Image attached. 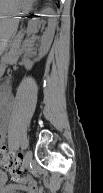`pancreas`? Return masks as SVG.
I'll use <instances>...</instances> for the list:
<instances>
[{"label":"pancreas","mask_w":103,"mask_h":193,"mask_svg":"<svg viewBox=\"0 0 103 193\" xmlns=\"http://www.w3.org/2000/svg\"><path fill=\"white\" fill-rule=\"evenodd\" d=\"M14 25H16V22H15V21H10V26L12 27V26H14ZM20 42H21V40H20L19 36L15 37V38L10 42L9 51H8V53L5 55L6 58H7V57H12V56L16 55L17 49H18V47H19V45H20Z\"/></svg>","instance_id":"pancreas-1"}]
</instances>
